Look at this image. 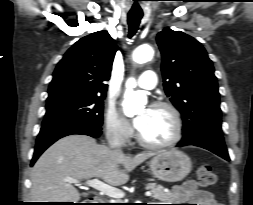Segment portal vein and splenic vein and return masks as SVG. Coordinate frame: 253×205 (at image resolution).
I'll list each match as a JSON object with an SVG mask.
<instances>
[{
	"label": "portal vein and splenic vein",
	"instance_id": "obj_1",
	"mask_svg": "<svg viewBox=\"0 0 253 205\" xmlns=\"http://www.w3.org/2000/svg\"><path fill=\"white\" fill-rule=\"evenodd\" d=\"M66 182L72 183V184H76V185H80L81 182L77 179H72V178H67L65 179ZM85 185L100 191L101 193L106 194L107 196L114 198V199H120L123 198L125 196V193L115 187H112L108 184H105L104 182L98 180V179H92V180H87L85 183ZM146 196H151L152 193L151 191H147L145 193Z\"/></svg>",
	"mask_w": 253,
	"mask_h": 205
}]
</instances>
